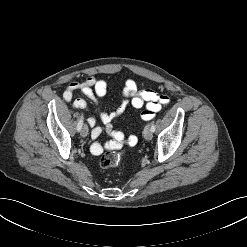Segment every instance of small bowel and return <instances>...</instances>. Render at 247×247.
<instances>
[{
  "instance_id": "small-bowel-1",
  "label": "small bowel",
  "mask_w": 247,
  "mask_h": 247,
  "mask_svg": "<svg viewBox=\"0 0 247 247\" xmlns=\"http://www.w3.org/2000/svg\"><path fill=\"white\" fill-rule=\"evenodd\" d=\"M80 91L86 95L93 102L98 104L100 99L106 97L108 92V84L104 79L97 78L94 75L89 76L82 82L69 83L64 92L63 98L66 102L72 103L77 109H88L85 100L81 98L74 99V93ZM170 102V98L162 93L156 92L152 89L139 90L137 83L133 79H127L122 91V98L119 106L113 112H100L99 117L103 126L97 125V118L90 116L87 119L88 125L91 127V137L93 139L99 138L103 132L111 134L115 141H120L123 134L113 130V123L119 120L129 107L137 109L143 108L141 117L143 120H151L155 114ZM136 140L131 137L130 141ZM112 141L105 144V147L110 148ZM103 149V145L95 142L92 145V150L95 154H99Z\"/></svg>"
}]
</instances>
